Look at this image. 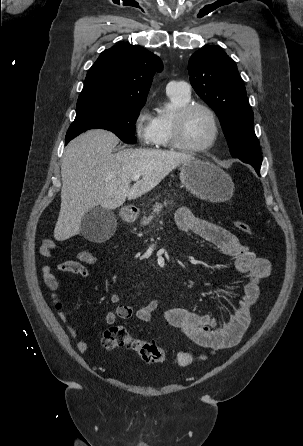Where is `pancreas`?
Instances as JSON below:
<instances>
[{
  "mask_svg": "<svg viewBox=\"0 0 303 446\" xmlns=\"http://www.w3.org/2000/svg\"><path fill=\"white\" fill-rule=\"evenodd\" d=\"M167 204H168V202L165 201L164 206H167ZM162 209H163V204H161V203H156L155 205H153L151 214L149 216L145 215L141 221V224L143 226L148 225L150 222H152L153 218H155L156 215L160 214Z\"/></svg>",
  "mask_w": 303,
  "mask_h": 446,
  "instance_id": "cf45deb5",
  "label": "pancreas"
}]
</instances>
